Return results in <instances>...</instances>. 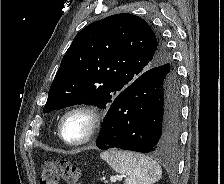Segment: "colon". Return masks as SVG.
Segmentation results:
<instances>
[{
    "label": "colon",
    "instance_id": "5ec220e1",
    "mask_svg": "<svg viewBox=\"0 0 224 184\" xmlns=\"http://www.w3.org/2000/svg\"><path fill=\"white\" fill-rule=\"evenodd\" d=\"M81 172L71 162L56 160L45 162L40 172V184H59L65 180L68 184H78Z\"/></svg>",
    "mask_w": 224,
    "mask_h": 184
}]
</instances>
